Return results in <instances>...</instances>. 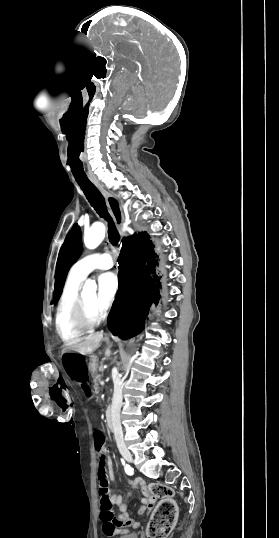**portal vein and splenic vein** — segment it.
<instances>
[{"instance_id":"1","label":"portal vein and splenic vein","mask_w":279,"mask_h":538,"mask_svg":"<svg viewBox=\"0 0 279 538\" xmlns=\"http://www.w3.org/2000/svg\"><path fill=\"white\" fill-rule=\"evenodd\" d=\"M101 385H105V380H102Z\"/></svg>"}]
</instances>
